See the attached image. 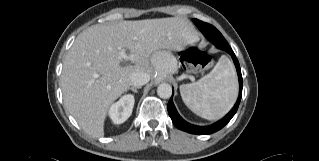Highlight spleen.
<instances>
[{
	"mask_svg": "<svg viewBox=\"0 0 319 161\" xmlns=\"http://www.w3.org/2000/svg\"><path fill=\"white\" fill-rule=\"evenodd\" d=\"M238 84L232 62L222 56L213 70L196 82L180 86L185 105L196 115L214 120L233 106Z\"/></svg>",
	"mask_w": 319,
	"mask_h": 161,
	"instance_id": "spleen-1",
	"label": "spleen"
}]
</instances>
